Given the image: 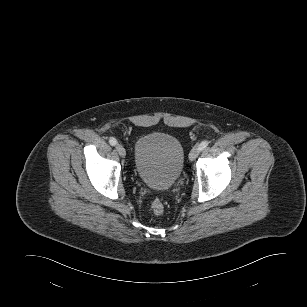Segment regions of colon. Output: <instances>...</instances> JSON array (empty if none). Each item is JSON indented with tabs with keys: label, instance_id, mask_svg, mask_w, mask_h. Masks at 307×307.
Instances as JSON below:
<instances>
[{
	"label": "colon",
	"instance_id": "1",
	"mask_svg": "<svg viewBox=\"0 0 307 307\" xmlns=\"http://www.w3.org/2000/svg\"><path fill=\"white\" fill-rule=\"evenodd\" d=\"M151 210L155 215H161L164 212L163 202L160 199L156 198L151 204Z\"/></svg>",
	"mask_w": 307,
	"mask_h": 307
}]
</instances>
